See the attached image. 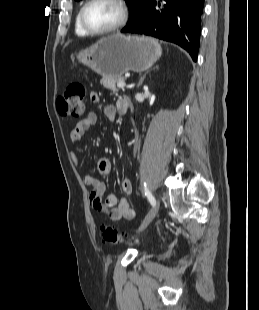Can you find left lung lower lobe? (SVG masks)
Here are the masks:
<instances>
[{
	"label": "left lung lower lobe",
	"instance_id": "left-lung-lower-lobe-1",
	"mask_svg": "<svg viewBox=\"0 0 259 310\" xmlns=\"http://www.w3.org/2000/svg\"><path fill=\"white\" fill-rule=\"evenodd\" d=\"M204 0H148L138 18L121 32L170 41L197 60Z\"/></svg>",
	"mask_w": 259,
	"mask_h": 310
}]
</instances>
